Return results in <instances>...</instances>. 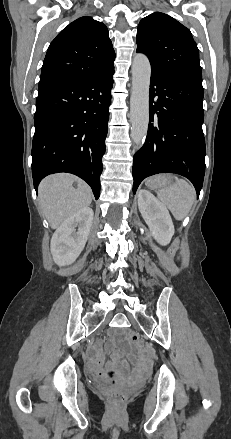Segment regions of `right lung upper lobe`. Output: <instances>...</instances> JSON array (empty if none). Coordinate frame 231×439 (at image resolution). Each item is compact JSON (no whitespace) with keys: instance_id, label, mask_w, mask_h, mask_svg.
Listing matches in <instances>:
<instances>
[{"instance_id":"1","label":"right lung upper lobe","mask_w":231,"mask_h":439,"mask_svg":"<svg viewBox=\"0 0 231 439\" xmlns=\"http://www.w3.org/2000/svg\"><path fill=\"white\" fill-rule=\"evenodd\" d=\"M108 29L91 17L70 23L51 42L43 62L39 90L81 82L113 65Z\"/></svg>"}]
</instances>
